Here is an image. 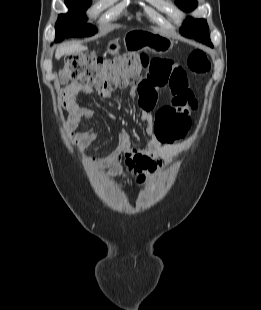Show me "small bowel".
<instances>
[{
	"instance_id": "obj_1",
	"label": "small bowel",
	"mask_w": 261,
	"mask_h": 310,
	"mask_svg": "<svg viewBox=\"0 0 261 310\" xmlns=\"http://www.w3.org/2000/svg\"><path fill=\"white\" fill-rule=\"evenodd\" d=\"M168 88L172 94L169 105L155 112L159 90ZM93 88L82 85H69L63 91L64 98L73 103L68 126L74 134L75 128L85 119H90L94 111L88 107L74 104L81 93L91 94ZM132 95H138L143 108L141 120L146 123V133L150 137L144 149H135L131 145V136L126 130L119 134L118 146L109 155L93 160L96 167L106 169L105 178L116 176L130 177L137 185L156 174L164 165L169 164L184 148L185 137L192 123L191 115L197 109V102L189 88L186 72L182 65L169 58H155L149 65L144 82L131 89ZM102 98H109L111 91L99 92ZM99 134L97 128H89L77 135V145L86 148Z\"/></svg>"
}]
</instances>
